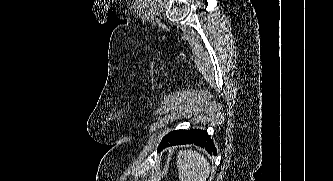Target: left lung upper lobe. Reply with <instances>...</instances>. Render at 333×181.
<instances>
[{"label": "left lung upper lobe", "instance_id": "obj_1", "mask_svg": "<svg viewBox=\"0 0 333 181\" xmlns=\"http://www.w3.org/2000/svg\"><path fill=\"white\" fill-rule=\"evenodd\" d=\"M185 130H177V131H173V132H170L169 134H167L162 142H169L171 140H173L174 138H176L178 135H180L181 133H183Z\"/></svg>", "mask_w": 333, "mask_h": 181}]
</instances>
